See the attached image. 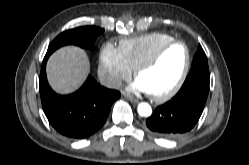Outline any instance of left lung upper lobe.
Listing matches in <instances>:
<instances>
[{
	"label": "left lung upper lobe",
	"instance_id": "left-lung-upper-lobe-1",
	"mask_svg": "<svg viewBox=\"0 0 249 165\" xmlns=\"http://www.w3.org/2000/svg\"><path fill=\"white\" fill-rule=\"evenodd\" d=\"M194 74L209 75L207 58H206V55H205V53L200 45H199L198 51L194 55L192 67H191V70H190L188 76L194 75Z\"/></svg>",
	"mask_w": 249,
	"mask_h": 165
}]
</instances>
